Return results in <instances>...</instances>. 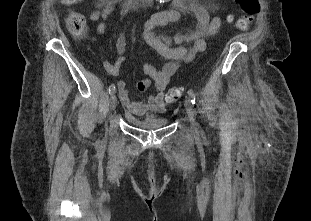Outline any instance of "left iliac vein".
Segmentation results:
<instances>
[{"label":"left iliac vein","instance_id":"1","mask_svg":"<svg viewBox=\"0 0 311 221\" xmlns=\"http://www.w3.org/2000/svg\"><path fill=\"white\" fill-rule=\"evenodd\" d=\"M184 106H185V109H186V113L188 115V119L190 121L191 129L195 130L197 124H196V121H195V115H194V109H193V106H192V102H191V100L189 98L185 99Z\"/></svg>","mask_w":311,"mask_h":221}]
</instances>
